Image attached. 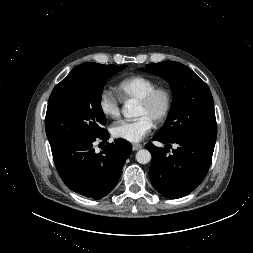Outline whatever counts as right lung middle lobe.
I'll list each match as a JSON object with an SVG mask.
<instances>
[{
    "mask_svg": "<svg viewBox=\"0 0 253 253\" xmlns=\"http://www.w3.org/2000/svg\"><path fill=\"white\" fill-rule=\"evenodd\" d=\"M98 64V63H97ZM126 65L74 68L53 89L47 107L45 129L50 146L80 138H94L105 132L101 95L108 77Z\"/></svg>",
    "mask_w": 253,
    "mask_h": 253,
    "instance_id": "1",
    "label": "right lung middle lobe"
}]
</instances>
